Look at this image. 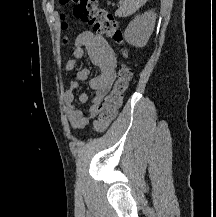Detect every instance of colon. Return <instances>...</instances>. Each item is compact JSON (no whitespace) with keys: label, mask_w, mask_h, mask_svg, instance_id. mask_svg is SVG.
Returning <instances> with one entry per match:
<instances>
[{"label":"colon","mask_w":216,"mask_h":217,"mask_svg":"<svg viewBox=\"0 0 216 217\" xmlns=\"http://www.w3.org/2000/svg\"><path fill=\"white\" fill-rule=\"evenodd\" d=\"M59 4L60 6L73 4V13L76 18L91 25L95 32L121 45L122 55L124 57L127 56V49L122 45V32L113 15L99 7L97 0H59ZM62 27L63 29L67 28L66 22L62 23ZM131 77V68L126 64H122L118 69L117 78L111 92L99 106L98 118L93 125L95 131L102 132L106 130L110 123L114 121L122 105L124 94L128 89Z\"/></svg>","instance_id":"5ec220e1"}]
</instances>
